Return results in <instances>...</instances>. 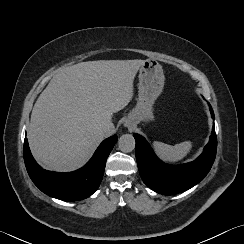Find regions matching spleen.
I'll use <instances>...</instances> for the list:
<instances>
[{"label":"spleen","instance_id":"1","mask_svg":"<svg viewBox=\"0 0 244 244\" xmlns=\"http://www.w3.org/2000/svg\"><path fill=\"white\" fill-rule=\"evenodd\" d=\"M153 148L156 154L165 162L175 163L182 160L191 150L192 143L184 141L174 146L154 141Z\"/></svg>","mask_w":244,"mask_h":244}]
</instances>
